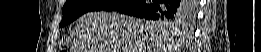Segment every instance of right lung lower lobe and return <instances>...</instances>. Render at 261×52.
<instances>
[{"label": "right lung lower lobe", "instance_id": "1", "mask_svg": "<svg viewBox=\"0 0 261 52\" xmlns=\"http://www.w3.org/2000/svg\"><path fill=\"white\" fill-rule=\"evenodd\" d=\"M103 10L155 20L158 17H183L189 11L180 0H127L116 2Z\"/></svg>", "mask_w": 261, "mask_h": 52}]
</instances>
